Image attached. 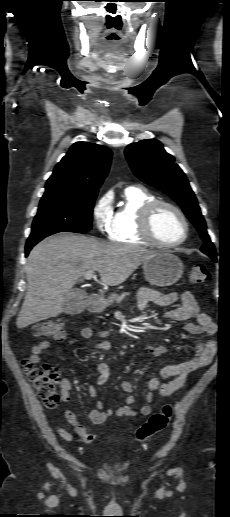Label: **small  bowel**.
<instances>
[{
	"label": "small bowel",
	"instance_id": "obj_1",
	"mask_svg": "<svg viewBox=\"0 0 230 517\" xmlns=\"http://www.w3.org/2000/svg\"><path fill=\"white\" fill-rule=\"evenodd\" d=\"M180 302L178 307H175L164 313V317L170 321H187L195 319V322H186L183 326V331L187 334H203L209 337L214 336L218 331V326L211 318L200 311L197 301L192 293H168L162 294L160 292L143 289L138 293L137 304L140 310H145L150 303H155L159 306H171ZM108 335V332L95 333L90 327H84L80 331V336L85 340H93L95 338H103ZM68 345H73L76 342L75 337H68L65 339ZM50 347V342L45 340L35 345L29 357L33 363H39L42 359V353ZM94 348L99 351H110L112 345L105 340H99L94 343ZM217 345L212 339L199 342L196 345L194 356L180 364L165 366L161 372L160 377L150 379L148 383L149 393L146 400L149 403L152 399L153 393H158L161 396L168 397L173 395L179 388H181L187 381L188 376L198 368L209 365L216 354ZM149 354L153 358H160L166 354L167 348L164 345H152L148 348ZM98 377L96 380L97 386H103L108 381L110 376V366L106 363H100L97 366ZM121 389L126 393L133 391V382L131 380H124L121 383ZM73 391L72 383L64 378L61 380V397L63 401L70 399ZM88 392L91 397L97 396V389L93 384L88 385ZM136 399L133 395L127 396L125 404L116 408H105L102 401H97L95 408L89 413V419L93 424H103L107 418L115 414L117 416H127L131 418H138L148 416L151 414V407L145 404L138 409L133 405ZM64 418L68 424L73 427L75 434L78 436V442L93 443L97 439V434L89 431L78 420L76 413L70 409L64 410ZM57 432L61 438L67 442H73L74 438L71 432L61 426H57Z\"/></svg>",
	"mask_w": 230,
	"mask_h": 517
}]
</instances>
